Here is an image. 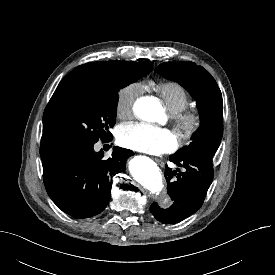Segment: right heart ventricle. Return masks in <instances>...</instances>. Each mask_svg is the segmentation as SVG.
Masks as SVG:
<instances>
[{"mask_svg":"<svg viewBox=\"0 0 275 275\" xmlns=\"http://www.w3.org/2000/svg\"><path fill=\"white\" fill-rule=\"evenodd\" d=\"M155 91L172 115L186 109L190 104L187 90L177 82L159 83Z\"/></svg>","mask_w":275,"mask_h":275,"instance_id":"obj_1","label":"right heart ventricle"}]
</instances>
